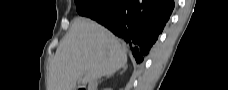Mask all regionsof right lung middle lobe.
<instances>
[{"instance_id": "right-lung-middle-lobe-1", "label": "right lung middle lobe", "mask_w": 228, "mask_h": 90, "mask_svg": "<svg viewBox=\"0 0 228 90\" xmlns=\"http://www.w3.org/2000/svg\"><path fill=\"white\" fill-rule=\"evenodd\" d=\"M77 12L81 16L96 17L105 7L106 0H75Z\"/></svg>"}]
</instances>
